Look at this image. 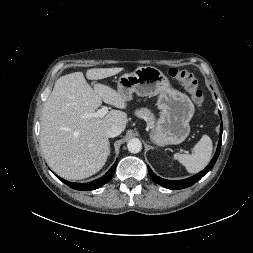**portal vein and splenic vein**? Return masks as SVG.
I'll use <instances>...</instances> for the list:
<instances>
[{"instance_id":"1","label":"portal vein and splenic vein","mask_w":253,"mask_h":253,"mask_svg":"<svg viewBox=\"0 0 253 253\" xmlns=\"http://www.w3.org/2000/svg\"><path fill=\"white\" fill-rule=\"evenodd\" d=\"M107 112H108V108L106 106H103L97 112L83 114L82 118H98V117L102 118L107 114Z\"/></svg>"}]
</instances>
